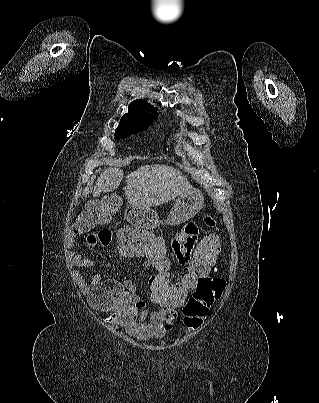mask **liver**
Instances as JSON below:
<instances>
[{
  "instance_id": "6515ba94",
  "label": "liver",
  "mask_w": 319,
  "mask_h": 403,
  "mask_svg": "<svg viewBox=\"0 0 319 403\" xmlns=\"http://www.w3.org/2000/svg\"><path fill=\"white\" fill-rule=\"evenodd\" d=\"M123 171L116 167L105 169L98 177L93 197L102 192H113L123 179ZM192 189L187 178L167 165H145L127 176L124 195L132 207L159 206Z\"/></svg>"
}]
</instances>
